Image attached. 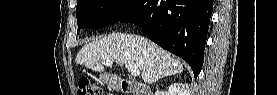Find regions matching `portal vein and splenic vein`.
<instances>
[{"mask_svg": "<svg viewBox=\"0 0 277 95\" xmlns=\"http://www.w3.org/2000/svg\"><path fill=\"white\" fill-rule=\"evenodd\" d=\"M112 63H113L112 61L107 60L104 64L107 66H110L112 65ZM125 67L127 68V70L130 72L132 76H139L140 71L133 64L125 63Z\"/></svg>", "mask_w": 277, "mask_h": 95, "instance_id": "1", "label": "portal vein and splenic vein"}]
</instances>
